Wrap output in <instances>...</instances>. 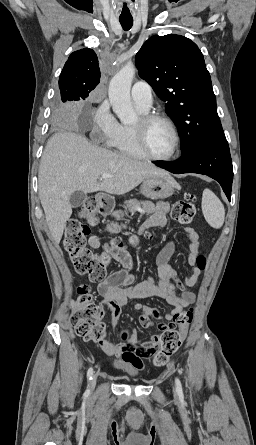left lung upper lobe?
Segmentation results:
<instances>
[{"instance_id":"5c2ea615","label":"left lung upper lobe","mask_w":256,"mask_h":445,"mask_svg":"<svg viewBox=\"0 0 256 445\" xmlns=\"http://www.w3.org/2000/svg\"><path fill=\"white\" fill-rule=\"evenodd\" d=\"M135 61L140 77L152 86L176 123L182 154L199 143L226 139L211 77L194 42L174 34L153 36Z\"/></svg>"}]
</instances>
